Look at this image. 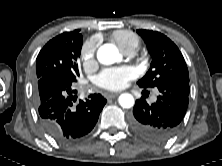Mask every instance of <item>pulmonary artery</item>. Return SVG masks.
Instances as JSON below:
<instances>
[{
  "instance_id": "pulmonary-artery-1",
  "label": "pulmonary artery",
  "mask_w": 222,
  "mask_h": 166,
  "mask_svg": "<svg viewBox=\"0 0 222 166\" xmlns=\"http://www.w3.org/2000/svg\"><path fill=\"white\" fill-rule=\"evenodd\" d=\"M131 54H133V53H127V55H131Z\"/></svg>"
}]
</instances>
